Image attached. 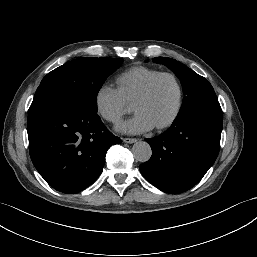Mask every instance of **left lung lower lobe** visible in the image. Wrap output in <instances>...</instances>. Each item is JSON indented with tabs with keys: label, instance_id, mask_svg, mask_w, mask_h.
<instances>
[{
	"label": "left lung lower lobe",
	"instance_id": "0a47b994",
	"mask_svg": "<svg viewBox=\"0 0 257 257\" xmlns=\"http://www.w3.org/2000/svg\"><path fill=\"white\" fill-rule=\"evenodd\" d=\"M222 118L218 100L212 101L177 117L161 135L146 139L152 156L139 166L142 175L167 193L192 188L218 155Z\"/></svg>",
	"mask_w": 257,
	"mask_h": 257
}]
</instances>
